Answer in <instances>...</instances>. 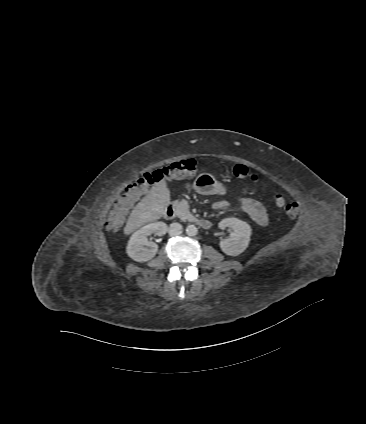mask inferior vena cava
<instances>
[{"label":"inferior vena cava","mask_w":366,"mask_h":424,"mask_svg":"<svg viewBox=\"0 0 366 424\" xmlns=\"http://www.w3.org/2000/svg\"><path fill=\"white\" fill-rule=\"evenodd\" d=\"M183 228L179 223H172L168 229L170 236H178L182 234Z\"/></svg>","instance_id":"inferior-vena-cava-1"}]
</instances>
